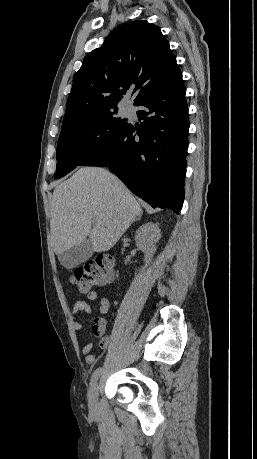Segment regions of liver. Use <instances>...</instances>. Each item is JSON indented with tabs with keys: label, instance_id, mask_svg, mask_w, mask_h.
<instances>
[{
	"label": "liver",
	"instance_id": "obj_1",
	"mask_svg": "<svg viewBox=\"0 0 257 459\" xmlns=\"http://www.w3.org/2000/svg\"><path fill=\"white\" fill-rule=\"evenodd\" d=\"M141 215L140 204L115 175L99 167H82L54 189L53 250L59 256L89 237L95 252L107 251Z\"/></svg>",
	"mask_w": 257,
	"mask_h": 459
}]
</instances>
